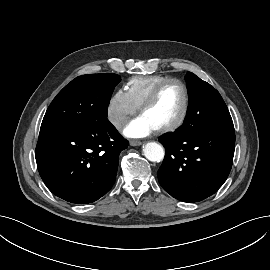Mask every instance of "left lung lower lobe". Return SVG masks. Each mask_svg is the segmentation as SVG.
Segmentation results:
<instances>
[{"mask_svg":"<svg viewBox=\"0 0 270 270\" xmlns=\"http://www.w3.org/2000/svg\"><path fill=\"white\" fill-rule=\"evenodd\" d=\"M165 158L158 170L163 189L184 202L214 194L227 179L235 150L234 127L202 128L183 125L162 136Z\"/></svg>","mask_w":270,"mask_h":270,"instance_id":"left-lung-lower-lobe-1","label":"left lung lower lobe"}]
</instances>
